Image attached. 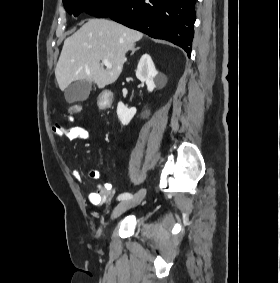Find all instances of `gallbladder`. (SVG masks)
I'll return each mask as SVG.
<instances>
[{
	"label": "gallbladder",
	"instance_id": "bac80fb5",
	"mask_svg": "<svg viewBox=\"0 0 280 283\" xmlns=\"http://www.w3.org/2000/svg\"><path fill=\"white\" fill-rule=\"evenodd\" d=\"M92 89V82L77 81L71 83L65 90V99L68 103L84 101L88 98Z\"/></svg>",
	"mask_w": 280,
	"mask_h": 283
}]
</instances>
